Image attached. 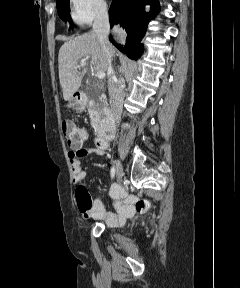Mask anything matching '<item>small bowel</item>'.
<instances>
[{"label":"small bowel","instance_id":"1","mask_svg":"<svg viewBox=\"0 0 240 288\" xmlns=\"http://www.w3.org/2000/svg\"><path fill=\"white\" fill-rule=\"evenodd\" d=\"M86 136V134H85ZM68 158L72 173V181L77 184L83 180L85 173L81 167L80 159L92 153L105 155L106 148H101L97 144L93 147L84 148L82 145L70 146ZM111 195L114 199L115 212H107L99 199H92L83 185H78L76 189V201L80 213L85 218L103 219L110 225H122L125 220L133 215L135 206L133 200L126 196L125 191L119 187H113ZM141 209V206H138Z\"/></svg>","mask_w":240,"mask_h":288}]
</instances>
